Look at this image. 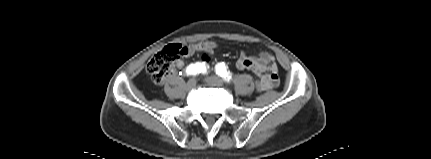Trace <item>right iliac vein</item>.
Listing matches in <instances>:
<instances>
[{
	"instance_id": "63e3f726",
	"label": "right iliac vein",
	"mask_w": 431,
	"mask_h": 159,
	"mask_svg": "<svg viewBox=\"0 0 431 159\" xmlns=\"http://www.w3.org/2000/svg\"><path fill=\"white\" fill-rule=\"evenodd\" d=\"M196 84H197V80H196L195 78H192V79H190V80L187 82V84H186V88H187L188 90H191V89H193V88H195V87H196Z\"/></svg>"
}]
</instances>
